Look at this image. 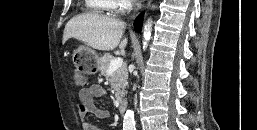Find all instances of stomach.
Listing matches in <instances>:
<instances>
[{
	"label": "stomach",
	"instance_id": "obj_1",
	"mask_svg": "<svg viewBox=\"0 0 257 130\" xmlns=\"http://www.w3.org/2000/svg\"><path fill=\"white\" fill-rule=\"evenodd\" d=\"M73 58L85 73L94 74L99 69V56L89 47L80 46L74 51Z\"/></svg>",
	"mask_w": 257,
	"mask_h": 130
}]
</instances>
